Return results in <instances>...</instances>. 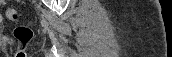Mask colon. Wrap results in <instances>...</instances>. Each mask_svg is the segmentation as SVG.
I'll return each mask as SVG.
<instances>
[{
    "mask_svg": "<svg viewBox=\"0 0 172 57\" xmlns=\"http://www.w3.org/2000/svg\"><path fill=\"white\" fill-rule=\"evenodd\" d=\"M5 16L10 20H17L18 12L15 9H7ZM14 37L18 42L14 57H27L26 47L33 38V29L28 25H19L14 29Z\"/></svg>",
    "mask_w": 172,
    "mask_h": 57,
    "instance_id": "colon-1",
    "label": "colon"
}]
</instances>
